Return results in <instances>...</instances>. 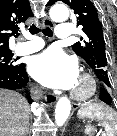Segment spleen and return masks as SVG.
I'll list each match as a JSON object with an SVG mask.
<instances>
[{
	"instance_id": "1",
	"label": "spleen",
	"mask_w": 117,
	"mask_h": 136,
	"mask_svg": "<svg viewBox=\"0 0 117 136\" xmlns=\"http://www.w3.org/2000/svg\"><path fill=\"white\" fill-rule=\"evenodd\" d=\"M79 118L96 120L105 128L107 136L117 135V113L103 103H90L82 106L77 113ZM94 128L87 125L85 134L92 136Z\"/></svg>"
}]
</instances>
